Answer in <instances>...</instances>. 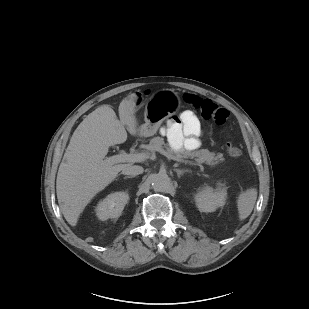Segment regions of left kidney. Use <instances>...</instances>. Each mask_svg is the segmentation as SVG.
I'll list each match as a JSON object with an SVG mask.
<instances>
[{
    "mask_svg": "<svg viewBox=\"0 0 309 309\" xmlns=\"http://www.w3.org/2000/svg\"><path fill=\"white\" fill-rule=\"evenodd\" d=\"M226 190L219 184L214 190L209 186L201 188L194 196L196 206L201 212H214L217 208L223 207L226 202Z\"/></svg>",
    "mask_w": 309,
    "mask_h": 309,
    "instance_id": "1",
    "label": "left kidney"
}]
</instances>
